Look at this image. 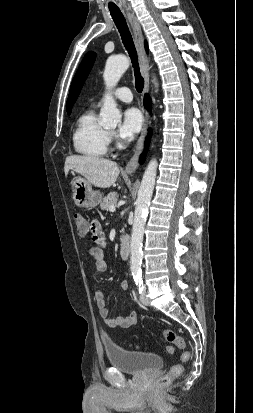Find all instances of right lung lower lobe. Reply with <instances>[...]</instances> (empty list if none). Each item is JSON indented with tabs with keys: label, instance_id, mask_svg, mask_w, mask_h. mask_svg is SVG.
Listing matches in <instances>:
<instances>
[{
	"label": "right lung lower lobe",
	"instance_id": "98d812e1",
	"mask_svg": "<svg viewBox=\"0 0 253 413\" xmlns=\"http://www.w3.org/2000/svg\"><path fill=\"white\" fill-rule=\"evenodd\" d=\"M150 103H151V102H150L149 97H148L147 95H145L144 105H145V107H146L148 110H150V107H151V104H150ZM150 138H151V129L149 130V135H148L147 140H146V142H145V146H146L145 152H144V153L141 155V157H140V163H144V161H145V155H146V151H147V148H148V146H149V143H150Z\"/></svg>",
	"mask_w": 253,
	"mask_h": 413
}]
</instances>
